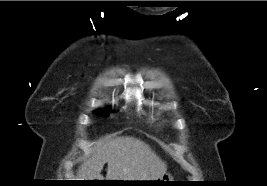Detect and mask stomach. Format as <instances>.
Wrapping results in <instances>:
<instances>
[{
  "label": "stomach",
  "mask_w": 267,
  "mask_h": 186,
  "mask_svg": "<svg viewBox=\"0 0 267 186\" xmlns=\"http://www.w3.org/2000/svg\"><path fill=\"white\" fill-rule=\"evenodd\" d=\"M172 179H173V177L170 174L164 173L158 179L152 180V181H156V182H152L153 184H150V185H166L165 183H167V182H161V181H173Z\"/></svg>",
  "instance_id": "1"
}]
</instances>
